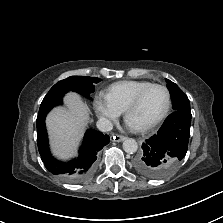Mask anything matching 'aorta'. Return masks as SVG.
Segmentation results:
<instances>
[{"instance_id":"aorta-1","label":"aorta","mask_w":223,"mask_h":223,"mask_svg":"<svg viewBox=\"0 0 223 223\" xmlns=\"http://www.w3.org/2000/svg\"><path fill=\"white\" fill-rule=\"evenodd\" d=\"M123 150L126 153L133 154L138 150V144L136 140L132 138H127L123 142Z\"/></svg>"}]
</instances>
